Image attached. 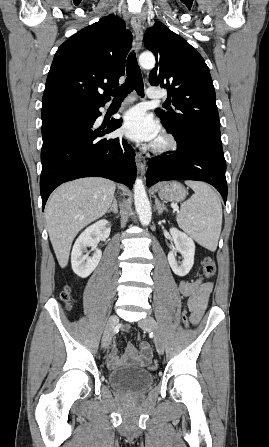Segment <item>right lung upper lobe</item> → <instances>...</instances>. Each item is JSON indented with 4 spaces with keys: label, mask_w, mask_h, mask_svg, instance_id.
Returning a JSON list of instances; mask_svg holds the SVG:
<instances>
[{
    "label": "right lung upper lobe",
    "mask_w": 269,
    "mask_h": 447,
    "mask_svg": "<svg viewBox=\"0 0 269 447\" xmlns=\"http://www.w3.org/2000/svg\"><path fill=\"white\" fill-rule=\"evenodd\" d=\"M132 34L114 15L82 29L55 53L42 107L64 106L86 100L109 101L102 90L119 85Z\"/></svg>",
    "instance_id": "cb5924a9"
}]
</instances>
